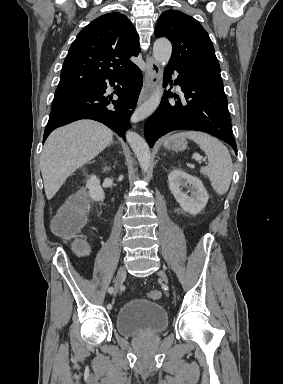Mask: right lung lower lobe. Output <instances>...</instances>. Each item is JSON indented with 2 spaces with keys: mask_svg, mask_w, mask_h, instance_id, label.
Segmentation results:
<instances>
[{
  "mask_svg": "<svg viewBox=\"0 0 283 384\" xmlns=\"http://www.w3.org/2000/svg\"><path fill=\"white\" fill-rule=\"evenodd\" d=\"M121 85L115 92L119 101L110 102L104 97L107 83H96L89 87V91L78 100L52 110L44 131L43 142L56 128L80 119H93L107 125L125 140V132L129 128L128 121L135 109L140 90L142 88V73L136 66L128 73L109 79ZM110 103L114 107L108 106Z\"/></svg>",
  "mask_w": 283,
  "mask_h": 384,
  "instance_id": "right-lung-lower-lobe-1",
  "label": "right lung lower lobe"
}]
</instances>
